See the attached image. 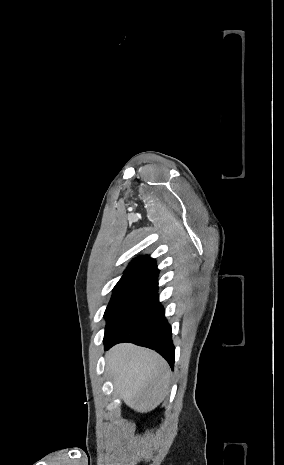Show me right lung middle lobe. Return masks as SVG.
<instances>
[{"label":"right lung middle lobe","instance_id":"obj_1","mask_svg":"<svg viewBox=\"0 0 284 465\" xmlns=\"http://www.w3.org/2000/svg\"><path fill=\"white\" fill-rule=\"evenodd\" d=\"M156 284L155 281L121 278L104 313L105 331L130 311Z\"/></svg>","mask_w":284,"mask_h":465}]
</instances>
